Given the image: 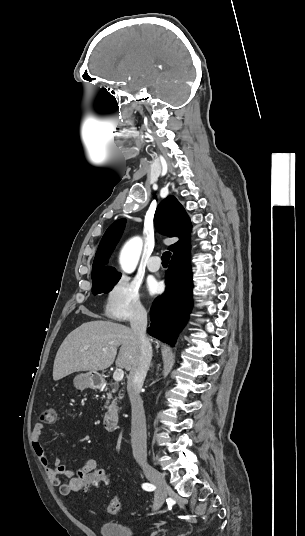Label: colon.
Instances as JSON below:
<instances>
[{
  "mask_svg": "<svg viewBox=\"0 0 305 536\" xmlns=\"http://www.w3.org/2000/svg\"><path fill=\"white\" fill-rule=\"evenodd\" d=\"M56 408L51 406L46 408L44 411H41L38 414V419L41 422H51L54 421L56 417ZM101 474V475H100ZM109 471L106 468L101 469L99 471L98 469H95L93 471V474H87L85 476V483L83 484V487L88 490H93L95 486H97L100 482H103L105 480V477L108 476ZM122 505V497L121 494L118 492L114 495L112 499H110L107 510L111 514H116L120 511Z\"/></svg>",
  "mask_w": 305,
  "mask_h": 536,
  "instance_id": "obj_1",
  "label": "colon"
}]
</instances>
